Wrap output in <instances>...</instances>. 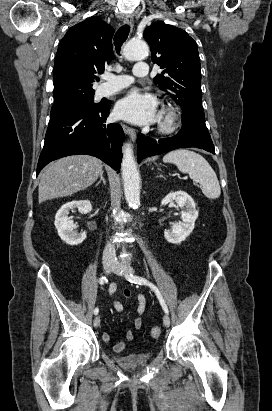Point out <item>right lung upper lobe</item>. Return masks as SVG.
I'll list each match as a JSON object with an SVG mask.
<instances>
[{
    "label": "right lung upper lobe",
    "mask_w": 272,
    "mask_h": 411,
    "mask_svg": "<svg viewBox=\"0 0 272 411\" xmlns=\"http://www.w3.org/2000/svg\"><path fill=\"white\" fill-rule=\"evenodd\" d=\"M114 29L98 17L76 24L61 40L54 63V103L77 91L91 90L113 57Z\"/></svg>",
    "instance_id": "right-lung-upper-lobe-1"
}]
</instances>
